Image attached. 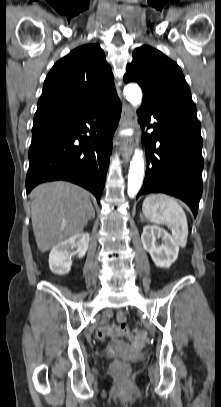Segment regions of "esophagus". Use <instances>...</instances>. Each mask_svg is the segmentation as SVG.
<instances>
[{
    "label": "esophagus",
    "instance_id": "34e87169",
    "mask_svg": "<svg viewBox=\"0 0 221 407\" xmlns=\"http://www.w3.org/2000/svg\"><path fill=\"white\" fill-rule=\"evenodd\" d=\"M135 124V117L133 109L129 105H125L122 111L121 125L123 128H131ZM134 139L132 137H125L121 145V154L125 163H127L133 153Z\"/></svg>",
    "mask_w": 221,
    "mask_h": 407
}]
</instances>
